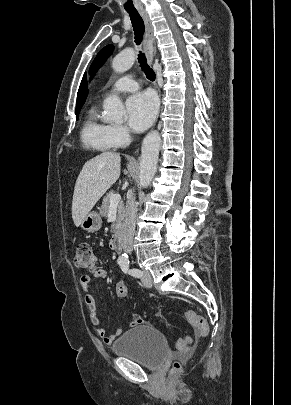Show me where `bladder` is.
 Returning a JSON list of instances; mask_svg holds the SVG:
<instances>
[{"instance_id":"1","label":"bladder","mask_w":291,"mask_h":405,"mask_svg":"<svg viewBox=\"0 0 291 405\" xmlns=\"http://www.w3.org/2000/svg\"><path fill=\"white\" fill-rule=\"evenodd\" d=\"M113 351L143 367L156 369L167 358L169 345L161 331L150 325H141L125 332L114 343Z\"/></svg>"}]
</instances>
